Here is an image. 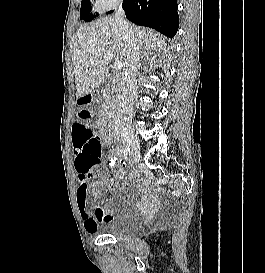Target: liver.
Wrapping results in <instances>:
<instances>
[{"mask_svg": "<svg viewBox=\"0 0 265 273\" xmlns=\"http://www.w3.org/2000/svg\"><path fill=\"white\" fill-rule=\"evenodd\" d=\"M133 29L142 49L147 51L146 54L165 47L162 36L151 30H140L138 27ZM126 50L114 18L103 17L89 26L80 27L71 43L77 98L88 95L104 81L114 58L121 61L124 67Z\"/></svg>", "mask_w": 265, "mask_h": 273, "instance_id": "liver-1", "label": "liver"}]
</instances>
